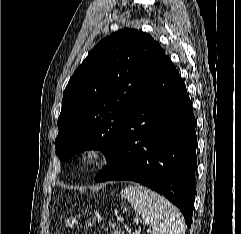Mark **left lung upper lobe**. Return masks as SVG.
Instances as JSON below:
<instances>
[{
	"label": "left lung upper lobe",
	"instance_id": "left-lung-upper-lobe-1",
	"mask_svg": "<svg viewBox=\"0 0 241 234\" xmlns=\"http://www.w3.org/2000/svg\"><path fill=\"white\" fill-rule=\"evenodd\" d=\"M164 56L157 41L136 29L101 40L63 92L55 139L60 160L88 149L101 150L109 160L130 106Z\"/></svg>",
	"mask_w": 241,
	"mask_h": 234
}]
</instances>
